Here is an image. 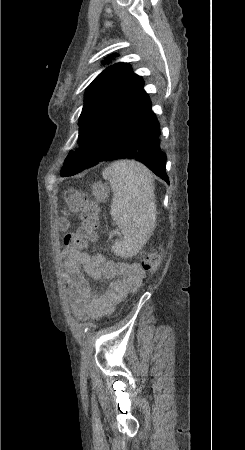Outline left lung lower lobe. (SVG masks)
<instances>
[{
	"label": "left lung lower lobe",
	"instance_id": "1",
	"mask_svg": "<svg viewBox=\"0 0 245 450\" xmlns=\"http://www.w3.org/2000/svg\"><path fill=\"white\" fill-rule=\"evenodd\" d=\"M160 125L154 114L149 109L139 128L135 131L127 143L118 151L113 150L109 154L101 155L98 153V146L86 145L84 148L90 152L81 151L83 153H91V157L98 158L102 161L115 159H136L144 163L157 176L169 184V178L166 174V154L160 147Z\"/></svg>",
	"mask_w": 245,
	"mask_h": 450
}]
</instances>
